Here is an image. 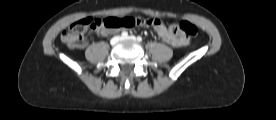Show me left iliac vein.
Listing matches in <instances>:
<instances>
[{
  "instance_id": "1",
  "label": "left iliac vein",
  "mask_w": 276,
  "mask_h": 120,
  "mask_svg": "<svg viewBox=\"0 0 276 120\" xmlns=\"http://www.w3.org/2000/svg\"><path fill=\"white\" fill-rule=\"evenodd\" d=\"M127 39H129V40H132V41H136V37L135 36H129V37H127V38H123V40H127Z\"/></svg>"
}]
</instances>
